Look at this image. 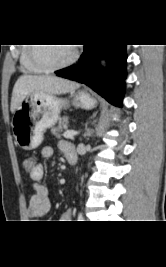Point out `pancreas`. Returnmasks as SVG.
<instances>
[{"label":"pancreas","mask_w":166,"mask_h":267,"mask_svg":"<svg viewBox=\"0 0 166 267\" xmlns=\"http://www.w3.org/2000/svg\"><path fill=\"white\" fill-rule=\"evenodd\" d=\"M67 128H68V119L64 118L61 122H59L57 127L51 129V132L57 138H60L63 130H66Z\"/></svg>","instance_id":"pancreas-1"}]
</instances>
